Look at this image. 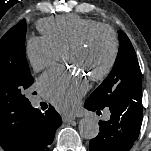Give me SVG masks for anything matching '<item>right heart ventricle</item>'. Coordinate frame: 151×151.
<instances>
[{"label":"right heart ventricle","mask_w":151,"mask_h":151,"mask_svg":"<svg viewBox=\"0 0 151 151\" xmlns=\"http://www.w3.org/2000/svg\"><path fill=\"white\" fill-rule=\"evenodd\" d=\"M101 25L99 22L76 15L47 18L38 27L43 36L61 52L77 42L89 29Z\"/></svg>","instance_id":"right-heart-ventricle-1"}]
</instances>
